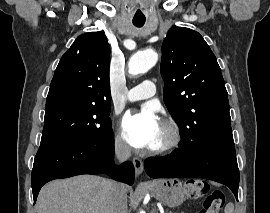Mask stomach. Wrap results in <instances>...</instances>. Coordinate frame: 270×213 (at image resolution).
I'll list each match as a JSON object with an SVG mask.
<instances>
[{
  "label": "stomach",
  "mask_w": 270,
  "mask_h": 213,
  "mask_svg": "<svg viewBox=\"0 0 270 213\" xmlns=\"http://www.w3.org/2000/svg\"><path fill=\"white\" fill-rule=\"evenodd\" d=\"M152 195L164 205L175 207L185 200L182 182L178 179H162L151 183Z\"/></svg>",
  "instance_id": "1"
}]
</instances>
